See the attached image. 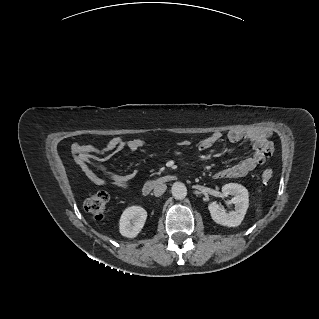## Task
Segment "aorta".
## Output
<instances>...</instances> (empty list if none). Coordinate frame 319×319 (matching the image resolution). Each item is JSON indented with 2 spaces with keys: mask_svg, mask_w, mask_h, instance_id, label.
<instances>
[{
  "mask_svg": "<svg viewBox=\"0 0 319 319\" xmlns=\"http://www.w3.org/2000/svg\"><path fill=\"white\" fill-rule=\"evenodd\" d=\"M172 195L177 200H183L187 196V188L182 182H175L171 188Z\"/></svg>",
  "mask_w": 319,
  "mask_h": 319,
  "instance_id": "762f6f07",
  "label": "aorta"
}]
</instances>
